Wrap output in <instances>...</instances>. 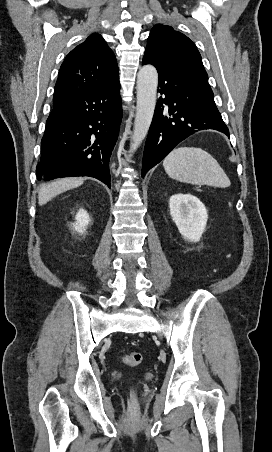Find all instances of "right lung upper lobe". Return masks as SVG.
I'll return each mask as SVG.
<instances>
[{"instance_id":"right-lung-upper-lobe-1","label":"right lung upper lobe","mask_w":272,"mask_h":452,"mask_svg":"<svg viewBox=\"0 0 272 452\" xmlns=\"http://www.w3.org/2000/svg\"><path fill=\"white\" fill-rule=\"evenodd\" d=\"M119 79L113 51L98 34L73 49L60 67L54 89L53 108L104 88Z\"/></svg>"}]
</instances>
